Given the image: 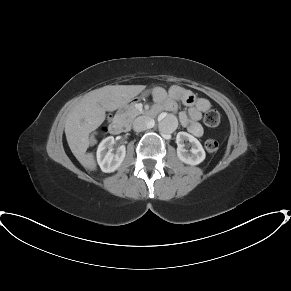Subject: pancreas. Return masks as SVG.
Returning <instances> with one entry per match:
<instances>
[{
	"label": "pancreas",
	"mask_w": 291,
	"mask_h": 291,
	"mask_svg": "<svg viewBox=\"0 0 291 291\" xmlns=\"http://www.w3.org/2000/svg\"><path fill=\"white\" fill-rule=\"evenodd\" d=\"M143 113L142 110L136 108L135 104H130L119 112V116L124 123H131L137 116Z\"/></svg>",
	"instance_id": "obj_1"
}]
</instances>
